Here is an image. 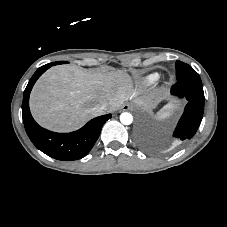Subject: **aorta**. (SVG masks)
<instances>
[{"instance_id":"1","label":"aorta","mask_w":227,"mask_h":227,"mask_svg":"<svg viewBox=\"0 0 227 227\" xmlns=\"http://www.w3.org/2000/svg\"><path fill=\"white\" fill-rule=\"evenodd\" d=\"M120 121L124 125H130L133 121V116L128 112H123L120 115Z\"/></svg>"}]
</instances>
